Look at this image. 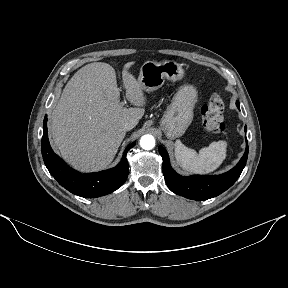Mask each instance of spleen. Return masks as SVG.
Wrapping results in <instances>:
<instances>
[{
    "instance_id": "1",
    "label": "spleen",
    "mask_w": 288,
    "mask_h": 288,
    "mask_svg": "<svg viewBox=\"0 0 288 288\" xmlns=\"http://www.w3.org/2000/svg\"><path fill=\"white\" fill-rule=\"evenodd\" d=\"M226 141L212 142L199 153L186 147L180 140L175 142V158L182 169L195 174L215 171L226 158Z\"/></svg>"
}]
</instances>
